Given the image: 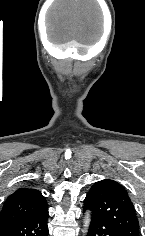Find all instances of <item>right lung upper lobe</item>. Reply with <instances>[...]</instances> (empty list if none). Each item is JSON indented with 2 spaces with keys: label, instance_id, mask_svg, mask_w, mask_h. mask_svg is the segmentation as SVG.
Wrapping results in <instances>:
<instances>
[{
  "label": "right lung upper lobe",
  "instance_id": "obj_1",
  "mask_svg": "<svg viewBox=\"0 0 145 236\" xmlns=\"http://www.w3.org/2000/svg\"><path fill=\"white\" fill-rule=\"evenodd\" d=\"M46 209L47 202L40 191L30 187L19 188L6 200L0 213V224L32 216Z\"/></svg>",
  "mask_w": 145,
  "mask_h": 236
}]
</instances>
